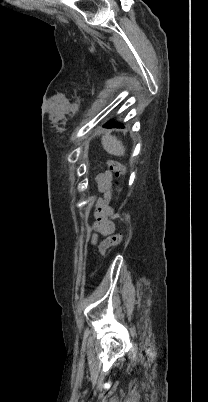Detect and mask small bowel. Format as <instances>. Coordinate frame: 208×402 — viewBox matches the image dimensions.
<instances>
[{"mask_svg":"<svg viewBox=\"0 0 208 402\" xmlns=\"http://www.w3.org/2000/svg\"><path fill=\"white\" fill-rule=\"evenodd\" d=\"M111 181L112 173L110 171H105L98 177V185L100 190L104 192V199L98 201L94 212V228L96 232L92 235L93 243L97 241L98 234L108 236L115 231V224L109 218L112 210L107 204Z\"/></svg>","mask_w":208,"mask_h":402,"instance_id":"obj_1","label":"small bowel"}]
</instances>
